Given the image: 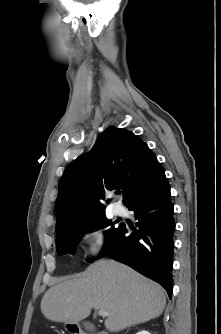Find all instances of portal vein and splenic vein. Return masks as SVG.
Here are the masks:
<instances>
[{"instance_id":"obj_1","label":"portal vein and splenic vein","mask_w":221,"mask_h":334,"mask_svg":"<svg viewBox=\"0 0 221 334\" xmlns=\"http://www.w3.org/2000/svg\"><path fill=\"white\" fill-rule=\"evenodd\" d=\"M98 315H99V316H102V317H106V316L109 315V313L106 312L104 309H100V310L98 311Z\"/></svg>"}]
</instances>
